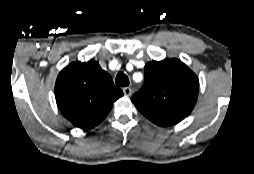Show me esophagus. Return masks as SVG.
I'll list each match as a JSON object with an SVG mask.
<instances>
[{"instance_id":"esophagus-1","label":"esophagus","mask_w":254,"mask_h":174,"mask_svg":"<svg viewBox=\"0 0 254 174\" xmlns=\"http://www.w3.org/2000/svg\"><path fill=\"white\" fill-rule=\"evenodd\" d=\"M123 93H124L125 96H131L132 89L130 87H124L123 88Z\"/></svg>"}]
</instances>
